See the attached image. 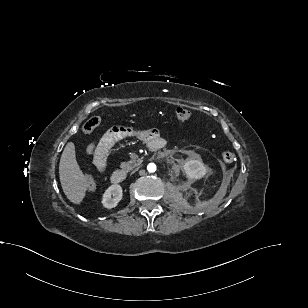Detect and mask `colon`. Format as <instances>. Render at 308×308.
<instances>
[{"instance_id":"5ec220e1","label":"colon","mask_w":308,"mask_h":308,"mask_svg":"<svg viewBox=\"0 0 308 308\" xmlns=\"http://www.w3.org/2000/svg\"><path fill=\"white\" fill-rule=\"evenodd\" d=\"M176 119L180 122H186L191 118V113L184 107H178L175 110ZM101 123V118L98 116H93L89 118L82 127V131L85 134L92 133ZM223 160L226 163H232L235 160V155L233 152L225 151L222 155ZM87 190L89 193H93L96 190V182L92 177L87 180Z\"/></svg>"}]
</instances>
